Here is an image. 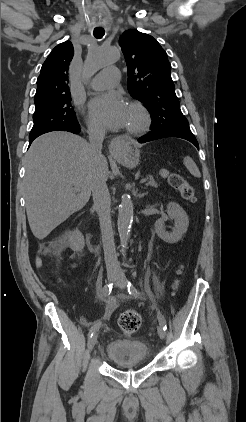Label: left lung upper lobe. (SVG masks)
Listing matches in <instances>:
<instances>
[{
    "instance_id": "obj_1",
    "label": "left lung upper lobe",
    "mask_w": 246,
    "mask_h": 422,
    "mask_svg": "<svg viewBox=\"0 0 246 422\" xmlns=\"http://www.w3.org/2000/svg\"><path fill=\"white\" fill-rule=\"evenodd\" d=\"M128 68L127 88L145 104L153 120L151 131L189 128L175 94L167 54L152 36L125 31L119 40Z\"/></svg>"
}]
</instances>
